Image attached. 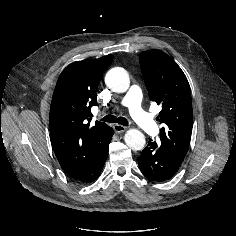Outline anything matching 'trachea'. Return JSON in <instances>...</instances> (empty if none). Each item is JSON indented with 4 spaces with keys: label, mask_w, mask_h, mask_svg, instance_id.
Wrapping results in <instances>:
<instances>
[{
    "label": "trachea",
    "mask_w": 236,
    "mask_h": 236,
    "mask_svg": "<svg viewBox=\"0 0 236 236\" xmlns=\"http://www.w3.org/2000/svg\"><path fill=\"white\" fill-rule=\"evenodd\" d=\"M102 121L104 122H108V123H119L121 125H124V126H128L129 123H128V120L124 117H116L114 115H106L105 117H103L101 119Z\"/></svg>",
    "instance_id": "1"
}]
</instances>
